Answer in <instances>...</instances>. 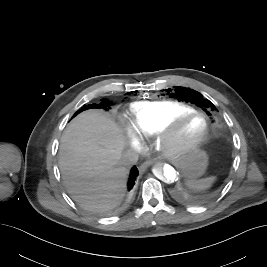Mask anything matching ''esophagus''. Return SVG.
I'll return each mask as SVG.
<instances>
[{"instance_id":"1","label":"esophagus","mask_w":267,"mask_h":267,"mask_svg":"<svg viewBox=\"0 0 267 267\" xmlns=\"http://www.w3.org/2000/svg\"><path fill=\"white\" fill-rule=\"evenodd\" d=\"M153 164V161L152 160H150V161H146V162H144V163H142L141 165H140V170L141 171H144V170H146L150 165H152Z\"/></svg>"}]
</instances>
